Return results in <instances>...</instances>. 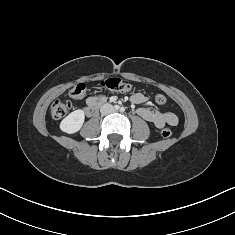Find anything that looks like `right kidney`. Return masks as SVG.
Here are the masks:
<instances>
[{
	"label": "right kidney",
	"mask_w": 235,
	"mask_h": 235,
	"mask_svg": "<svg viewBox=\"0 0 235 235\" xmlns=\"http://www.w3.org/2000/svg\"><path fill=\"white\" fill-rule=\"evenodd\" d=\"M84 119V111L80 109L75 110L61 121L60 129L68 134L76 133L81 129Z\"/></svg>",
	"instance_id": "1"
}]
</instances>
